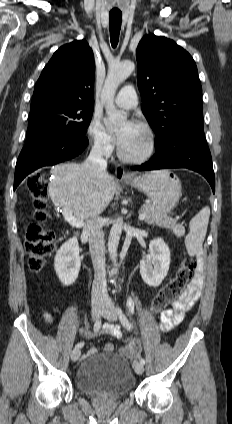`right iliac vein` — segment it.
<instances>
[{"instance_id": "right-iliac-vein-1", "label": "right iliac vein", "mask_w": 232, "mask_h": 424, "mask_svg": "<svg viewBox=\"0 0 232 424\" xmlns=\"http://www.w3.org/2000/svg\"><path fill=\"white\" fill-rule=\"evenodd\" d=\"M104 305L101 303H96L92 306L91 315L94 320L98 319L101 313L103 312ZM81 351L80 348H75L71 353V360L77 361L80 357Z\"/></svg>"}]
</instances>
